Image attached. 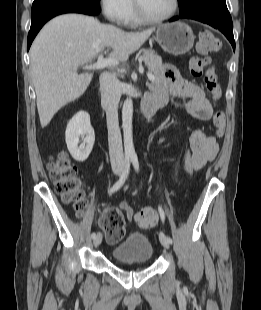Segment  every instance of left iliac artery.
Returning a JSON list of instances; mask_svg holds the SVG:
<instances>
[{
    "instance_id": "44dca946",
    "label": "left iliac artery",
    "mask_w": 261,
    "mask_h": 310,
    "mask_svg": "<svg viewBox=\"0 0 261 310\" xmlns=\"http://www.w3.org/2000/svg\"><path fill=\"white\" fill-rule=\"evenodd\" d=\"M131 161H132V164L134 166V169L138 172L139 171V162H138V158H137L136 154H133L131 156ZM158 209H159L161 220H162V222H164V220H165L164 211H163L162 207H160V206L158 207ZM167 240L170 243H172V239L169 236H167Z\"/></svg>"
}]
</instances>
